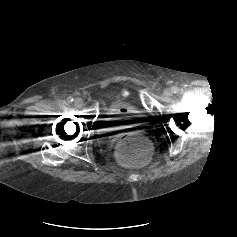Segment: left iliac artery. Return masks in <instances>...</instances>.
<instances>
[{
	"label": "left iliac artery",
	"mask_w": 237,
	"mask_h": 237,
	"mask_svg": "<svg viewBox=\"0 0 237 237\" xmlns=\"http://www.w3.org/2000/svg\"><path fill=\"white\" fill-rule=\"evenodd\" d=\"M172 91H173L174 93H177V92H178V87L174 86V87L172 88Z\"/></svg>",
	"instance_id": "1"
}]
</instances>
